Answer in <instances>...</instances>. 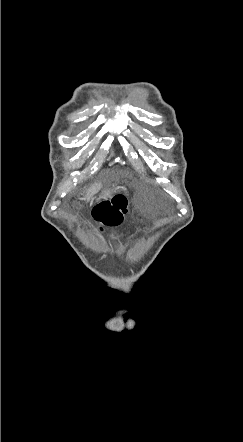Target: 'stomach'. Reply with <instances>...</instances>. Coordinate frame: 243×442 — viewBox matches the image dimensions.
<instances>
[{
    "instance_id": "0dacf381",
    "label": "stomach",
    "mask_w": 243,
    "mask_h": 442,
    "mask_svg": "<svg viewBox=\"0 0 243 442\" xmlns=\"http://www.w3.org/2000/svg\"><path fill=\"white\" fill-rule=\"evenodd\" d=\"M112 193H113L112 189L108 188V189H105V190L100 194L99 197H100V199H107V198H110V197H111Z\"/></svg>"
}]
</instances>
